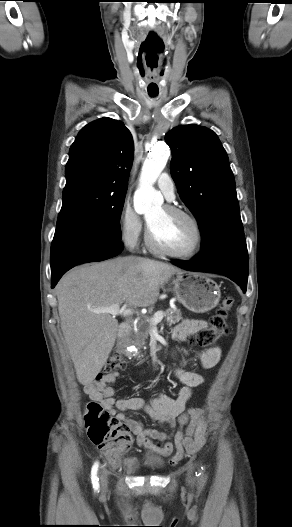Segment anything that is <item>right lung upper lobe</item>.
<instances>
[{"mask_svg":"<svg viewBox=\"0 0 292 527\" xmlns=\"http://www.w3.org/2000/svg\"><path fill=\"white\" fill-rule=\"evenodd\" d=\"M131 133L120 121L102 118L77 135L66 164V185L84 183L127 191L133 161Z\"/></svg>","mask_w":292,"mask_h":527,"instance_id":"obj_1","label":"right lung upper lobe"}]
</instances>
